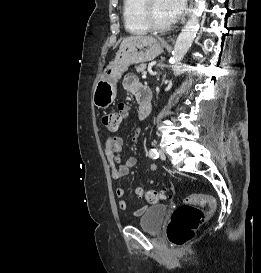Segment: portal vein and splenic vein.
I'll use <instances>...</instances> for the list:
<instances>
[{"instance_id": "obj_1", "label": "portal vein and splenic vein", "mask_w": 261, "mask_h": 273, "mask_svg": "<svg viewBox=\"0 0 261 273\" xmlns=\"http://www.w3.org/2000/svg\"><path fill=\"white\" fill-rule=\"evenodd\" d=\"M146 77H147V72H143L142 78L146 79Z\"/></svg>"}]
</instances>
